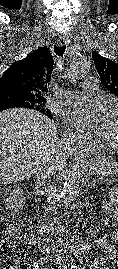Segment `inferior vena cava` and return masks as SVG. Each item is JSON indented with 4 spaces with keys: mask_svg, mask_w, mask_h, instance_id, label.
I'll return each mask as SVG.
<instances>
[{
    "mask_svg": "<svg viewBox=\"0 0 118 269\" xmlns=\"http://www.w3.org/2000/svg\"><path fill=\"white\" fill-rule=\"evenodd\" d=\"M64 142H58L52 150L51 156L44 160L38 167L36 174V187H41L45 181L50 178L51 174L57 170L63 163L62 153L60 149Z\"/></svg>",
    "mask_w": 118,
    "mask_h": 269,
    "instance_id": "1",
    "label": "inferior vena cava"
}]
</instances>
